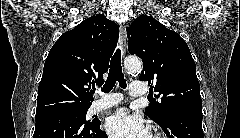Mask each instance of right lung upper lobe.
I'll use <instances>...</instances> for the list:
<instances>
[{
	"label": "right lung upper lobe",
	"instance_id": "1",
	"mask_svg": "<svg viewBox=\"0 0 240 138\" xmlns=\"http://www.w3.org/2000/svg\"><path fill=\"white\" fill-rule=\"evenodd\" d=\"M118 37V26L101 14L62 34L44 64L36 115L90 107L89 88L104 82Z\"/></svg>",
	"mask_w": 240,
	"mask_h": 138
}]
</instances>
